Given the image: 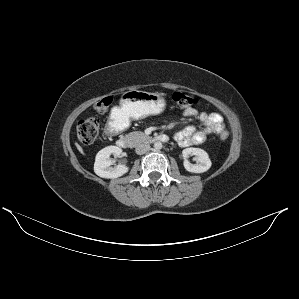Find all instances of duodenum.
Instances as JSON below:
<instances>
[{
  "label": "duodenum",
  "mask_w": 299,
  "mask_h": 299,
  "mask_svg": "<svg viewBox=\"0 0 299 299\" xmlns=\"http://www.w3.org/2000/svg\"><path fill=\"white\" fill-rule=\"evenodd\" d=\"M105 131L108 135L115 134L118 131L117 121L115 119L110 120L106 125ZM153 141H155V142H167L168 137L164 134H160V135L154 136ZM117 144H118V146H120L122 148H127L130 145L129 139L127 137H120L117 141Z\"/></svg>",
  "instance_id": "obj_1"
}]
</instances>
